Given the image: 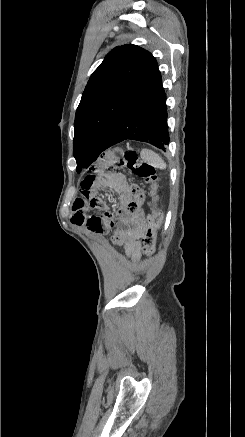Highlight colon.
<instances>
[{
  "instance_id": "5ec220e1",
  "label": "colon",
  "mask_w": 245,
  "mask_h": 437,
  "mask_svg": "<svg viewBox=\"0 0 245 437\" xmlns=\"http://www.w3.org/2000/svg\"><path fill=\"white\" fill-rule=\"evenodd\" d=\"M121 164L138 177L149 184V193L154 198L151 204V211L148 215V225L143 237L144 252L151 256L155 251L158 229L162 220V213L156 205V180L155 168L139 159L138 154L133 150L123 153ZM145 202V193L142 187L133 185L130 190L128 206L131 210L138 209Z\"/></svg>"
}]
</instances>
